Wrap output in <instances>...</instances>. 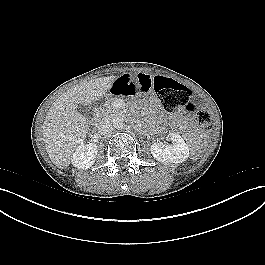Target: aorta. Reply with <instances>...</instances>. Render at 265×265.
Segmentation results:
<instances>
[{"mask_svg":"<svg viewBox=\"0 0 265 265\" xmlns=\"http://www.w3.org/2000/svg\"><path fill=\"white\" fill-rule=\"evenodd\" d=\"M113 126L117 129H122L125 126L124 119L117 115L112 119Z\"/></svg>","mask_w":265,"mask_h":265,"instance_id":"1","label":"aorta"}]
</instances>
